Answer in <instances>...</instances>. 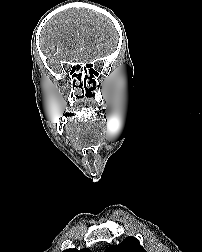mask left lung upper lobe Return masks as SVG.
Returning <instances> with one entry per match:
<instances>
[{
    "instance_id": "5c2ea615",
    "label": "left lung upper lobe",
    "mask_w": 202,
    "mask_h": 252,
    "mask_svg": "<svg viewBox=\"0 0 202 252\" xmlns=\"http://www.w3.org/2000/svg\"><path fill=\"white\" fill-rule=\"evenodd\" d=\"M105 252H146L135 237H126L118 245H110Z\"/></svg>"
}]
</instances>
